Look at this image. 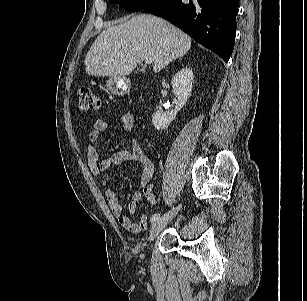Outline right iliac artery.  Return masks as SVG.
Wrapping results in <instances>:
<instances>
[{
	"instance_id": "right-iliac-artery-1",
	"label": "right iliac artery",
	"mask_w": 307,
	"mask_h": 301,
	"mask_svg": "<svg viewBox=\"0 0 307 301\" xmlns=\"http://www.w3.org/2000/svg\"><path fill=\"white\" fill-rule=\"evenodd\" d=\"M160 218V214L159 213H155L151 216L150 221L152 223L156 222L158 219Z\"/></svg>"
}]
</instances>
